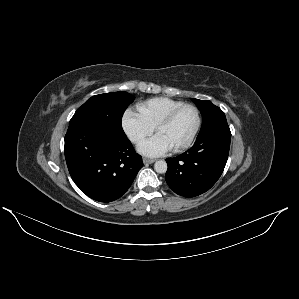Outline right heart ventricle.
Here are the masks:
<instances>
[{
	"mask_svg": "<svg viewBox=\"0 0 299 299\" xmlns=\"http://www.w3.org/2000/svg\"><path fill=\"white\" fill-rule=\"evenodd\" d=\"M183 104L182 101L167 97H155L139 103L137 110L140 115L155 128L162 118Z\"/></svg>",
	"mask_w": 299,
	"mask_h": 299,
	"instance_id": "right-heart-ventricle-1",
	"label": "right heart ventricle"
}]
</instances>
